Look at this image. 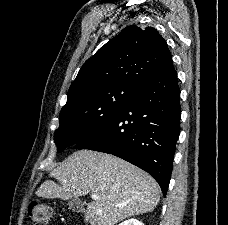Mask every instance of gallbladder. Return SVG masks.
Returning <instances> with one entry per match:
<instances>
[{
    "instance_id": "1",
    "label": "gallbladder",
    "mask_w": 228,
    "mask_h": 225,
    "mask_svg": "<svg viewBox=\"0 0 228 225\" xmlns=\"http://www.w3.org/2000/svg\"><path fill=\"white\" fill-rule=\"evenodd\" d=\"M67 207L70 209V211H73V213H82V211H85L81 199H77V197H74V199H69Z\"/></svg>"
}]
</instances>
